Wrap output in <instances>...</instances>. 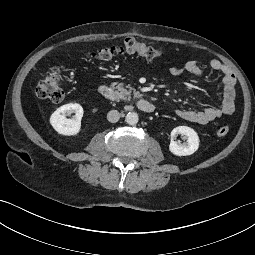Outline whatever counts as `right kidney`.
<instances>
[{
    "label": "right kidney",
    "mask_w": 255,
    "mask_h": 255,
    "mask_svg": "<svg viewBox=\"0 0 255 255\" xmlns=\"http://www.w3.org/2000/svg\"><path fill=\"white\" fill-rule=\"evenodd\" d=\"M75 112L73 119L66 118V114ZM83 108L80 104L69 103L59 107L50 117V124L61 135H77L81 128V119L83 117Z\"/></svg>",
    "instance_id": "right-kidney-1"
}]
</instances>
